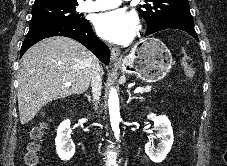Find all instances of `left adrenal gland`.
<instances>
[{"instance_id":"a2214340","label":"left adrenal gland","mask_w":227,"mask_h":166,"mask_svg":"<svg viewBox=\"0 0 227 166\" xmlns=\"http://www.w3.org/2000/svg\"><path fill=\"white\" fill-rule=\"evenodd\" d=\"M127 93H128V96H129V98H128V100H127V104H129L130 101L133 100V99H141V98L135 97V96L132 97L131 92H130L129 89L127 90Z\"/></svg>"}]
</instances>
